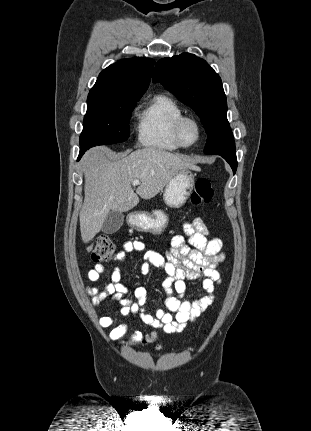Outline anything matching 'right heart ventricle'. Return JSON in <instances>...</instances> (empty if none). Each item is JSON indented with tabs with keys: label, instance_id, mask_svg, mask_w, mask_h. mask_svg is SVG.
I'll return each instance as SVG.
<instances>
[{
	"label": "right heart ventricle",
	"instance_id": "obj_1",
	"mask_svg": "<svg viewBox=\"0 0 311 431\" xmlns=\"http://www.w3.org/2000/svg\"><path fill=\"white\" fill-rule=\"evenodd\" d=\"M186 114L169 94L156 95L139 113L136 123L138 143L146 148L174 152L182 148L175 136L177 120Z\"/></svg>",
	"mask_w": 311,
	"mask_h": 431
}]
</instances>
